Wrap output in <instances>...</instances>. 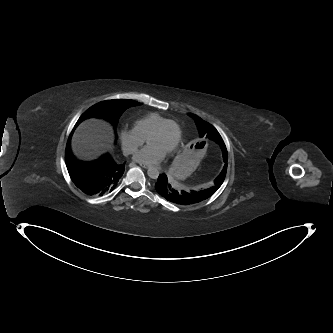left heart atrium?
Returning a JSON list of instances; mask_svg holds the SVG:
<instances>
[{
    "label": "left heart atrium",
    "mask_w": 333,
    "mask_h": 333,
    "mask_svg": "<svg viewBox=\"0 0 333 333\" xmlns=\"http://www.w3.org/2000/svg\"><path fill=\"white\" fill-rule=\"evenodd\" d=\"M166 153L167 150L149 143L134 156V160L137 162L156 164L163 159Z\"/></svg>",
    "instance_id": "1"
}]
</instances>
